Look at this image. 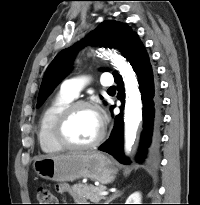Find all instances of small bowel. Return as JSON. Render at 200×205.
Returning <instances> with one entry per match:
<instances>
[{
    "label": "small bowel",
    "mask_w": 200,
    "mask_h": 205,
    "mask_svg": "<svg viewBox=\"0 0 200 205\" xmlns=\"http://www.w3.org/2000/svg\"><path fill=\"white\" fill-rule=\"evenodd\" d=\"M57 190L61 194L69 193L70 192V186L67 184H59L57 186Z\"/></svg>",
    "instance_id": "1"
}]
</instances>
